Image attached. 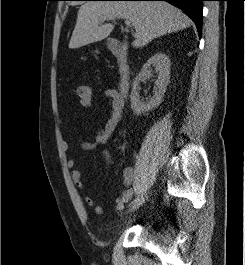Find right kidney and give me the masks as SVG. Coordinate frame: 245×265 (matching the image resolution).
I'll list each match as a JSON object with an SVG mask.
<instances>
[{
	"label": "right kidney",
	"instance_id": "obj_1",
	"mask_svg": "<svg viewBox=\"0 0 245 265\" xmlns=\"http://www.w3.org/2000/svg\"><path fill=\"white\" fill-rule=\"evenodd\" d=\"M152 67L155 68V72L158 75L155 81L157 91L149 101L144 102L140 99L138 92L139 83L142 78H150L153 76ZM169 75L170 60L163 53H156L143 65L139 75L133 80L130 95L131 108L136 115H141L159 106L169 83Z\"/></svg>",
	"mask_w": 245,
	"mask_h": 265
}]
</instances>
